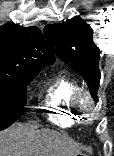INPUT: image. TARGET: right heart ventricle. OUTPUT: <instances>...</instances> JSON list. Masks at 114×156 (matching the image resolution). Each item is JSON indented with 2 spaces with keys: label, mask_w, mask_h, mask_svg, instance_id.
Here are the masks:
<instances>
[{
  "label": "right heart ventricle",
  "mask_w": 114,
  "mask_h": 156,
  "mask_svg": "<svg viewBox=\"0 0 114 156\" xmlns=\"http://www.w3.org/2000/svg\"><path fill=\"white\" fill-rule=\"evenodd\" d=\"M76 80L61 72L44 87L42 108L53 123L62 127L74 126L78 116L72 105L74 94L80 89Z\"/></svg>",
  "instance_id": "1"
}]
</instances>
